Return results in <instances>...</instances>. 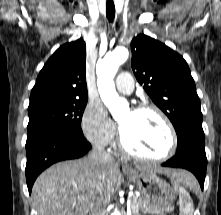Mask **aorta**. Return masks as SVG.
<instances>
[{
    "instance_id": "aorta-1",
    "label": "aorta",
    "mask_w": 221,
    "mask_h": 215,
    "mask_svg": "<svg viewBox=\"0 0 221 215\" xmlns=\"http://www.w3.org/2000/svg\"><path fill=\"white\" fill-rule=\"evenodd\" d=\"M129 57V51L125 47H117L108 53L96 65L97 86L100 97L111 113H115L120 106H127L126 100L119 97L115 89L114 77L120 65L125 63ZM111 215H121L115 210Z\"/></svg>"
}]
</instances>
